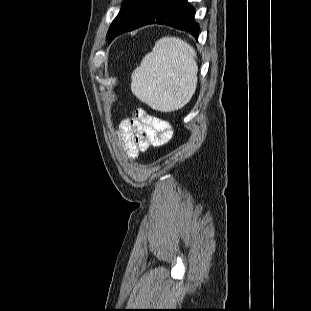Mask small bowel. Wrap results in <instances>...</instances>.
<instances>
[{"mask_svg":"<svg viewBox=\"0 0 311 311\" xmlns=\"http://www.w3.org/2000/svg\"><path fill=\"white\" fill-rule=\"evenodd\" d=\"M118 138L129 158H136L151 146H162L172 137L171 125L139 109L132 118L123 120L118 127Z\"/></svg>","mask_w":311,"mask_h":311,"instance_id":"c3829d8e","label":"small bowel"}]
</instances>
